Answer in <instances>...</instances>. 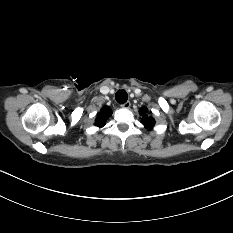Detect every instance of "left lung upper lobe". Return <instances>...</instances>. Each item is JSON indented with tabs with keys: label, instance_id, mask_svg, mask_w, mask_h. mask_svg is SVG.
<instances>
[{
	"label": "left lung upper lobe",
	"instance_id": "left-lung-upper-lobe-1",
	"mask_svg": "<svg viewBox=\"0 0 233 233\" xmlns=\"http://www.w3.org/2000/svg\"><path fill=\"white\" fill-rule=\"evenodd\" d=\"M139 112L142 115V119H141L142 123L147 129L151 130L155 125V120L147 115L148 109L142 107L140 108Z\"/></svg>",
	"mask_w": 233,
	"mask_h": 233
}]
</instances>
